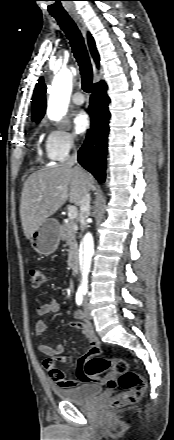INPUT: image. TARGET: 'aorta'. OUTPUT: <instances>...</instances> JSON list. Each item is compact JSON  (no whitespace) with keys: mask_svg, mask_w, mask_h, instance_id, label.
I'll use <instances>...</instances> for the list:
<instances>
[{"mask_svg":"<svg viewBox=\"0 0 174 440\" xmlns=\"http://www.w3.org/2000/svg\"><path fill=\"white\" fill-rule=\"evenodd\" d=\"M73 74L70 69L60 70L53 79L52 91L48 100L47 114L51 120L60 121L68 109L72 92ZM94 254V241L91 233H87L79 251V264L81 272V288L86 289L88 274L90 272L92 257Z\"/></svg>","mask_w":174,"mask_h":440,"instance_id":"obj_1","label":"aorta"}]
</instances>
